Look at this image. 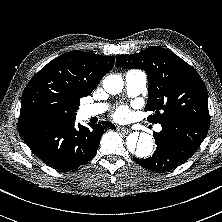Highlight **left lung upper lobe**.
Here are the masks:
<instances>
[{"label":"left lung upper lobe","mask_w":222,"mask_h":222,"mask_svg":"<svg viewBox=\"0 0 222 222\" xmlns=\"http://www.w3.org/2000/svg\"><path fill=\"white\" fill-rule=\"evenodd\" d=\"M117 66L143 69L148 76L147 120L162 123L171 118L210 120L208 94L195 69L168 49L152 46L132 55L117 56Z\"/></svg>","instance_id":"5c2ea615"}]
</instances>
